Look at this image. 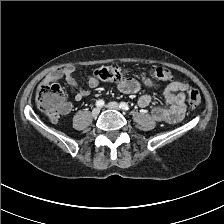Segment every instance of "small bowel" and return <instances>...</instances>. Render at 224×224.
Segmentation results:
<instances>
[{
  "label": "small bowel",
  "instance_id": "obj_1",
  "mask_svg": "<svg viewBox=\"0 0 224 224\" xmlns=\"http://www.w3.org/2000/svg\"><path fill=\"white\" fill-rule=\"evenodd\" d=\"M64 79L67 84L75 90V99L77 101L89 95V91L86 90L81 84H79L75 78V67L72 65L64 68L56 69L49 73L43 80V83H52ZM87 84L89 87L94 88L99 85V80L95 76L87 77ZM143 84L154 91L160 90L162 97L167 103V107L156 106L152 108L151 115L154 120L158 122H165L169 124H175L180 122L185 114V89L186 83L173 80L160 87V85L150 79L144 80ZM141 82L134 79H126L120 82L119 89L123 93H136L141 88ZM140 107L145 108L151 104V97L147 94L140 96L138 99ZM70 106L63 113H68Z\"/></svg>",
  "mask_w": 224,
  "mask_h": 224
}]
</instances>
